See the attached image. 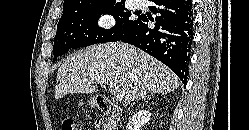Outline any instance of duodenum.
Segmentation results:
<instances>
[{"label": "duodenum", "mask_w": 249, "mask_h": 130, "mask_svg": "<svg viewBox=\"0 0 249 130\" xmlns=\"http://www.w3.org/2000/svg\"><path fill=\"white\" fill-rule=\"evenodd\" d=\"M96 103L99 112L108 117L107 130H115L121 114L120 107L104 96L97 97Z\"/></svg>", "instance_id": "duodenum-1"}]
</instances>
